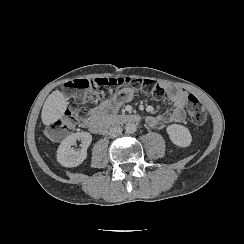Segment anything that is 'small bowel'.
<instances>
[{"mask_svg": "<svg viewBox=\"0 0 244 244\" xmlns=\"http://www.w3.org/2000/svg\"><path fill=\"white\" fill-rule=\"evenodd\" d=\"M163 88L168 99L172 102L173 108L163 114L148 116L146 121L150 126H158L162 123H182L185 120V107L188 104L189 94L172 84H165ZM135 90L132 86H123L115 91L109 99L88 110V116L80 121V127L94 131L107 114L118 110L123 104L131 101Z\"/></svg>", "mask_w": 244, "mask_h": 244, "instance_id": "c3829d8e", "label": "small bowel"}]
</instances>
